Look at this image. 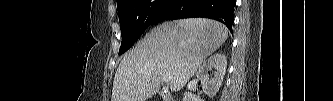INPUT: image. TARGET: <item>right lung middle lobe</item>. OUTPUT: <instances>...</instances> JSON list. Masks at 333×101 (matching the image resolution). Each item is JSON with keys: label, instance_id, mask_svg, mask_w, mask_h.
I'll use <instances>...</instances> for the list:
<instances>
[{"label": "right lung middle lobe", "instance_id": "dd1d6c3e", "mask_svg": "<svg viewBox=\"0 0 333 101\" xmlns=\"http://www.w3.org/2000/svg\"><path fill=\"white\" fill-rule=\"evenodd\" d=\"M168 0H119V15L122 43L119 54L127 51L150 26L157 23Z\"/></svg>", "mask_w": 333, "mask_h": 101}]
</instances>
